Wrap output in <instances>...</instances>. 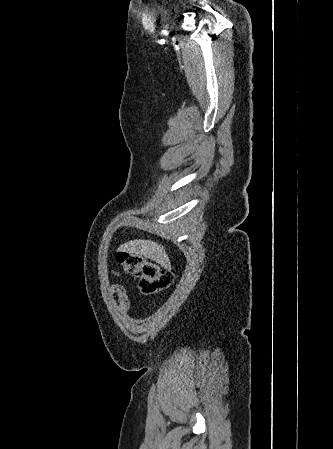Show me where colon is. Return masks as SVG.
Here are the masks:
<instances>
[{"instance_id": "1", "label": "colon", "mask_w": 333, "mask_h": 449, "mask_svg": "<svg viewBox=\"0 0 333 449\" xmlns=\"http://www.w3.org/2000/svg\"><path fill=\"white\" fill-rule=\"evenodd\" d=\"M116 261L125 271L138 279L139 290L145 295L161 292L169 288L174 281V275L171 271L142 255L129 251H119L116 255Z\"/></svg>"}]
</instances>
